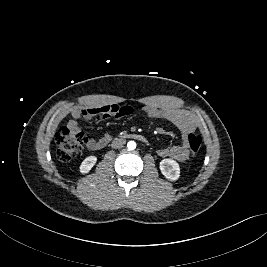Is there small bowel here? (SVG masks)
<instances>
[{"instance_id": "c3829d8e", "label": "small bowel", "mask_w": 267, "mask_h": 267, "mask_svg": "<svg viewBox=\"0 0 267 267\" xmlns=\"http://www.w3.org/2000/svg\"><path fill=\"white\" fill-rule=\"evenodd\" d=\"M144 113L153 119H163L173 124L181 134L180 141L172 146L161 148L158 154L161 157H170L178 161H184L189 157L187 138L197 130V123L190 115L174 110L162 109L154 105L144 107ZM133 112L130 106L104 105L99 107H87L75 109L72 111V119L68 125L72 128H79L78 120H90L96 115H102L104 118L111 116L122 117L128 116ZM111 140V135L106 132L97 139H90L87 148L96 151L104 148Z\"/></svg>"}]
</instances>
